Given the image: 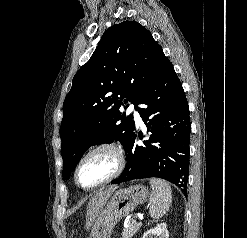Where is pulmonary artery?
<instances>
[{
  "label": "pulmonary artery",
  "mask_w": 247,
  "mask_h": 238,
  "mask_svg": "<svg viewBox=\"0 0 247 238\" xmlns=\"http://www.w3.org/2000/svg\"><path fill=\"white\" fill-rule=\"evenodd\" d=\"M128 111L133 114L134 120H135L137 125H142L143 124L142 118H141L138 110L135 108L134 105H130L129 108H128Z\"/></svg>",
  "instance_id": "1"
}]
</instances>
